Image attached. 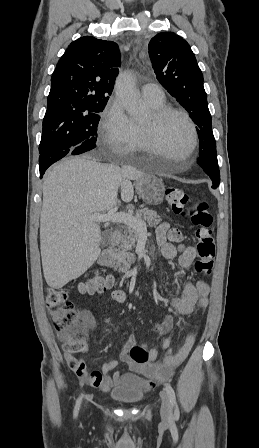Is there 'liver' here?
Returning <instances> with one entry per match:
<instances>
[{"instance_id":"6515ba94","label":"liver","mask_w":259,"mask_h":448,"mask_svg":"<svg viewBox=\"0 0 259 448\" xmlns=\"http://www.w3.org/2000/svg\"><path fill=\"white\" fill-rule=\"evenodd\" d=\"M120 186L124 194L129 182L119 166L91 158H65L46 172L40 250L50 288L60 290L95 264L101 252V232L87 216L115 208Z\"/></svg>"}]
</instances>
